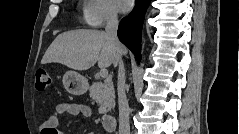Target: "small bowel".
<instances>
[{"instance_id":"c3829d8e","label":"small bowel","mask_w":239,"mask_h":134,"mask_svg":"<svg viewBox=\"0 0 239 134\" xmlns=\"http://www.w3.org/2000/svg\"><path fill=\"white\" fill-rule=\"evenodd\" d=\"M62 114H69L72 116L81 115L85 118H89L92 115L91 108L83 103L77 102H59L54 113L41 124L42 134H58V116Z\"/></svg>"}]
</instances>
